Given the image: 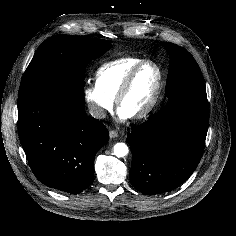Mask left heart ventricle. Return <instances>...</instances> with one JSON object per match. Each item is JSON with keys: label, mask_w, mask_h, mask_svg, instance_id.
<instances>
[{"label": "left heart ventricle", "mask_w": 236, "mask_h": 236, "mask_svg": "<svg viewBox=\"0 0 236 236\" xmlns=\"http://www.w3.org/2000/svg\"><path fill=\"white\" fill-rule=\"evenodd\" d=\"M158 84V71L153 65L144 66L121 102L120 110L127 116L142 111L150 102Z\"/></svg>", "instance_id": "1"}]
</instances>
